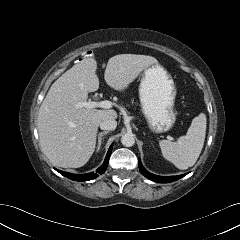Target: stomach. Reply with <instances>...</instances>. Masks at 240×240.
<instances>
[{
  "label": "stomach",
  "instance_id": "obj_1",
  "mask_svg": "<svg viewBox=\"0 0 240 240\" xmlns=\"http://www.w3.org/2000/svg\"><path fill=\"white\" fill-rule=\"evenodd\" d=\"M175 97L176 86L167 70L160 64L147 67L140 82L139 98L150 130L162 133L172 128L176 121Z\"/></svg>",
  "mask_w": 240,
  "mask_h": 240
}]
</instances>
